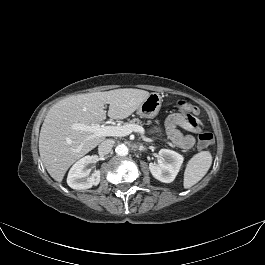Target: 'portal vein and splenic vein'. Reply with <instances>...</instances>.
Segmentation results:
<instances>
[{
    "label": "portal vein and splenic vein",
    "mask_w": 265,
    "mask_h": 265,
    "mask_svg": "<svg viewBox=\"0 0 265 265\" xmlns=\"http://www.w3.org/2000/svg\"><path fill=\"white\" fill-rule=\"evenodd\" d=\"M74 130H82L92 133L95 136H127L132 132H138L144 135V128L136 124H126L123 126H101L99 124L87 125L84 123H73L71 125Z\"/></svg>",
    "instance_id": "portal-vein-and-splenic-vein-1"
}]
</instances>
